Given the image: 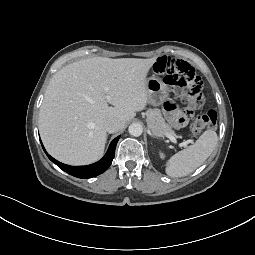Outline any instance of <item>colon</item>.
I'll use <instances>...</instances> for the list:
<instances>
[{
    "label": "colon",
    "mask_w": 255,
    "mask_h": 255,
    "mask_svg": "<svg viewBox=\"0 0 255 255\" xmlns=\"http://www.w3.org/2000/svg\"><path fill=\"white\" fill-rule=\"evenodd\" d=\"M155 72L164 75L166 84L180 92L188 108H198L204 103L203 82L195 69L186 61L170 57L159 58L154 65ZM217 121V113L208 110L197 116L191 124L193 133L213 127Z\"/></svg>",
    "instance_id": "5ec220e1"
}]
</instances>
